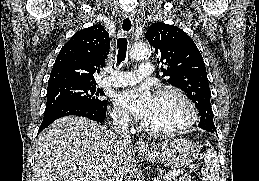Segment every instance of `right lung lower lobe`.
<instances>
[{
    "label": "right lung lower lobe",
    "mask_w": 259,
    "mask_h": 181,
    "mask_svg": "<svg viewBox=\"0 0 259 181\" xmlns=\"http://www.w3.org/2000/svg\"><path fill=\"white\" fill-rule=\"evenodd\" d=\"M106 111L107 106H104L99 109L84 105L60 106L44 114L43 122L39 127L38 134L47 126H49L52 122H54L56 119L69 115L83 116L91 120L101 122L106 118Z\"/></svg>",
    "instance_id": "right-lung-lower-lobe-1"
}]
</instances>
